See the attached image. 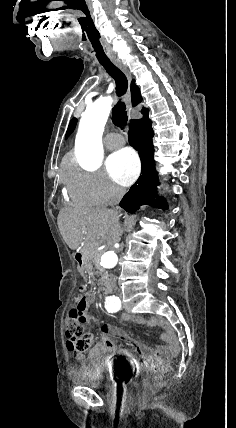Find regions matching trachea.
<instances>
[{"instance_id":"trachea-1","label":"trachea","mask_w":236,"mask_h":428,"mask_svg":"<svg viewBox=\"0 0 236 428\" xmlns=\"http://www.w3.org/2000/svg\"><path fill=\"white\" fill-rule=\"evenodd\" d=\"M84 20L81 24V29L86 31L89 36V45L91 50L95 53V59L98 64H101L106 72L115 80L116 83V94L118 97H122L125 94L128 87V81L125 74L117 68L112 62H110V55L108 51L101 45L102 35L99 33V29L96 27L93 15L86 13ZM113 123L118 127L124 129L127 125L128 117L126 112L125 103L118 101L112 111Z\"/></svg>"}]
</instances>
